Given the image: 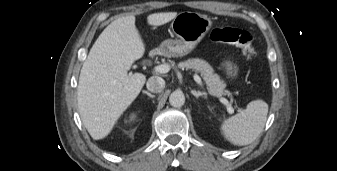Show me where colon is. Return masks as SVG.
Wrapping results in <instances>:
<instances>
[{
  "label": "colon",
  "instance_id": "obj_1",
  "mask_svg": "<svg viewBox=\"0 0 337 171\" xmlns=\"http://www.w3.org/2000/svg\"><path fill=\"white\" fill-rule=\"evenodd\" d=\"M210 39L217 43L235 45L249 58L255 57L253 38L249 31L235 27H220L213 29Z\"/></svg>",
  "mask_w": 337,
  "mask_h": 171
}]
</instances>
